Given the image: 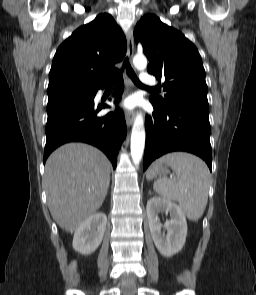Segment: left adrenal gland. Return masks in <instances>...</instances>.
Listing matches in <instances>:
<instances>
[{"mask_svg": "<svg viewBox=\"0 0 256 295\" xmlns=\"http://www.w3.org/2000/svg\"><path fill=\"white\" fill-rule=\"evenodd\" d=\"M148 194H149V195H151V194H152L151 190H149Z\"/></svg>", "mask_w": 256, "mask_h": 295, "instance_id": "left-adrenal-gland-1", "label": "left adrenal gland"}]
</instances>
